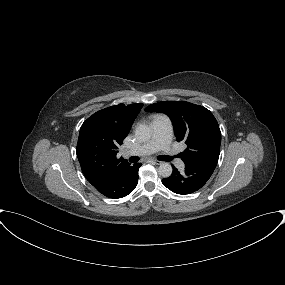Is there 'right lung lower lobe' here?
Here are the masks:
<instances>
[{"label": "right lung lower lobe", "mask_w": 285, "mask_h": 285, "mask_svg": "<svg viewBox=\"0 0 285 285\" xmlns=\"http://www.w3.org/2000/svg\"><path fill=\"white\" fill-rule=\"evenodd\" d=\"M140 163L130 165L115 173L109 180L94 187L104 196L117 199L130 194L138 183V170Z\"/></svg>", "instance_id": "98d812e1"}]
</instances>
